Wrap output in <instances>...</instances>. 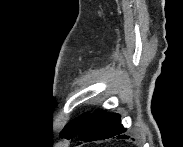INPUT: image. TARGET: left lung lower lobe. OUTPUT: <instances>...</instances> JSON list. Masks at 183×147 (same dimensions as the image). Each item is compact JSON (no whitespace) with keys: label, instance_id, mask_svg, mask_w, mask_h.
Returning a JSON list of instances; mask_svg holds the SVG:
<instances>
[{"label":"left lung lower lobe","instance_id":"1","mask_svg":"<svg viewBox=\"0 0 183 147\" xmlns=\"http://www.w3.org/2000/svg\"><path fill=\"white\" fill-rule=\"evenodd\" d=\"M125 131L126 129L122 126L118 114L98 111L86 118L75 137L84 142L97 141L115 136L117 138H127V136L122 135Z\"/></svg>","mask_w":183,"mask_h":147}]
</instances>
